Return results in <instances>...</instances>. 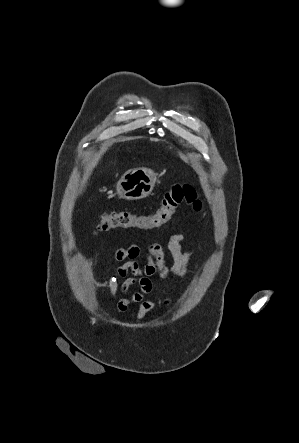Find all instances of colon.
<instances>
[{"instance_id": "1", "label": "colon", "mask_w": 299, "mask_h": 443, "mask_svg": "<svg viewBox=\"0 0 299 443\" xmlns=\"http://www.w3.org/2000/svg\"><path fill=\"white\" fill-rule=\"evenodd\" d=\"M187 204L195 211L202 208L196 190L192 185L175 183L164 194L160 206L150 214H138L128 210L104 213L98 220L96 231H109L116 228L156 229L168 224L177 209Z\"/></svg>"}]
</instances>
